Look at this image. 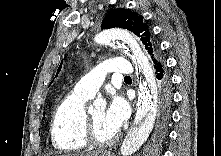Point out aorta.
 <instances>
[{
	"instance_id": "obj_1",
	"label": "aorta",
	"mask_w": 221,
	"mask_h": 156,
	"mask_svg": "<svg viewBox=\"0 0 221 156\" xmlns=\"http://www.w3.org/2000/svg\"><path fill=\"white\" fill-rule=\"evenodd\" d=\"M105 42L126 52L134 53L137 59V74L139 75L137 112L133 127L126 138L122 153L127 156L135 152L149 137L155 122L156 82L148 58L140 51L136 40L127 31L111 30L105 33ZM95 104L99 106L102 102Z\"/></svg>"
}]
</instances>
